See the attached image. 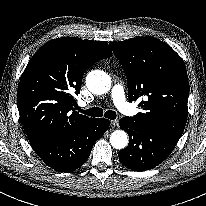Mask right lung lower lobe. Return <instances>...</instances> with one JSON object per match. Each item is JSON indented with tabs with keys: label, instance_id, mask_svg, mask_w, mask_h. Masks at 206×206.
<instances>
[{
	"label": "right lung lower lobe",
	"instance_id": "98d812e1",
	"mask_svg": "<svg viewBox=\"0 0 206 206\" xmlns=\"http://www.w3.org/2000/svg\"><path fill=\"white\" fill-rule=\"evenodd\" d=\"M109 125V120L92 118L69 134L32 143V148L52 169L73 171L86 162L93 144L104 135Z\"/></svg>",
	"mask_w": 206,
	"mask_h": 206
}]
</instances>
